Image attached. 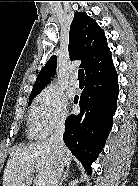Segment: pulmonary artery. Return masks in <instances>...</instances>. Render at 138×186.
<instances>
[{
  "mask_svg": "<svg viewBox=\"0 0 138 186\" xmlns=\"http://www.w3.org/2000/svg\"><path fill=\"white\" fill-rule=\"evenodd\" d=\"M70 84L72 87L74 88H78L79 87V80L76 74H73L71 79H70Z\"/></svg>",
  "mask_w": 138,
  "mask_h": 186,
  "instance_id": "1",
  "label": "pulmonary artery"
}]
</instances>
